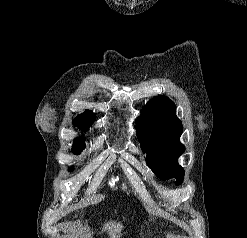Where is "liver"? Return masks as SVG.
<instances>
[{
    "label": "liver",
    "mask_w": 247,
    "mask_h": 238,
    "mask_svg": "<svg viewBox=\"0 0 247 238\" xmlns=\"http://www.w3.org/2000/svg\"><path fill=\"white\" fill-rule=\"evenodd\" d=\"M105 228H108V233L111 238H120L122 226L119 224L116 226L114 223H109Z\"/></svg>",
    "instance_id": "obj_1"
}]
</instances>
